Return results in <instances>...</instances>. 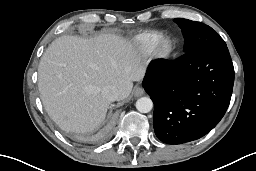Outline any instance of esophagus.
Wrapping results in <instances>:
<instances>
[{
    "instance_id": "1",
    "label": "esophagus",
    "mask_w": 256,
    "mask_h": 171,
    "mask_svg": "<svg viewBox=\"0 0 256 171\" xmlns=\"http://www.w3.org/2000/svg\"><path fill=\"white\" fill-rule=\"evenodd\" d=\"M144 94V89L141 86H136L133 90V95L135 97H140Z\"/></svg>"
}]
</instances>
